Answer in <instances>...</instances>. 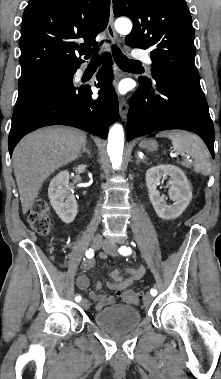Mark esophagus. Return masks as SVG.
<instances>
[{
	"label": "esophagus",
	"mask_w": 221,
	"mask_h": 379,
	"mask_svg": "<svg viewBox=\"0 0 221 379\" xmlns=\"http://www.w3.org/2000/svg\"><path fill=\"white\" fill-rule=\"evenodd\" d=\"M106 30H107L108 36L115 42L119 43V37L114 29V14H113V9H112V1L110 4L109 22H108ZM119 112H120L121 118L124 120L128 112V102L125 97H121L119 100Z\"/></svg>",
	"instance_id": "obj_1"
}]
</instances>
